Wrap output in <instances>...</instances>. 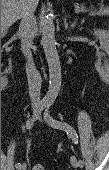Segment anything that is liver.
<instances>
[{"label":"liver","mask_w":109,"mask_h":170,"mask_svg":"<svg viewBox=\"0 0 109 170\" xmlns=\"http://www.w3.org/2000/svg\"><path fill=\"white\" fill-rule=\"evenodd\" d=\"M39 0H1V30L6 31L13 23L21 18L25 5L31 10L37 8Z\"/></svg>","instance_id":"liver-1"}]
</instances>
